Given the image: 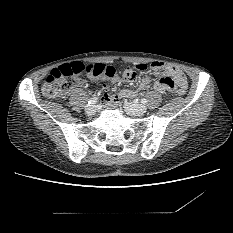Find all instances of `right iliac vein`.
<instances>
[{
  "mask_svg": "<svg viewBox=\"0 0 233 233\" xmlns=\"http://www.w3.org/2000/svg\"><path fill=\"white\" fill-rule=\"evenodd\" d=\"M85 111L88 115H93L96 112V106L91 104L86 106Z\"/></svg>",
  "mask_w": 233,
  "mask_h": 233,
  "instance_id": "obj_1",
  "label": "right iliac vein"
}]
</instances>
